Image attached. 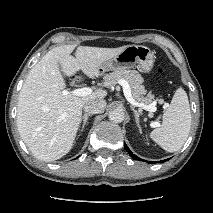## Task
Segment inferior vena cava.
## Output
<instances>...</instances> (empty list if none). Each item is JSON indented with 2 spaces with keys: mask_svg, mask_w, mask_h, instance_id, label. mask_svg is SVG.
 <instances>
[{
  "mask_svg": "<svg viewBox=\"0 0 213 213\" xmlns=\"http://www.w3.org/2000/svg\"><path fill=\"white\" fill-rule=\"evenodd\" d=\"M106 108L105 100H92L83 106V110L89 114H98L104 112Z\"/></svg>",
  "mask_w": 213,
  "mask_h": 213,
  "instance_id": "602c4592",
  "label": "inferior vena cava"
}]
</instances>
